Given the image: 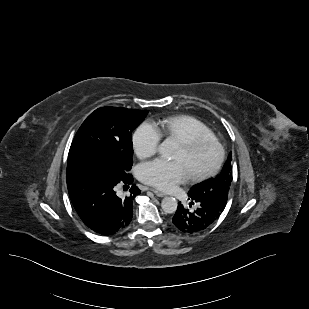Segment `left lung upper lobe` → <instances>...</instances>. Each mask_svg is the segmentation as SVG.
<instances>
[{"label": "left lung upper lobe", "mask_w": 309, "mask_h": 309, "mask_svg": "<svg viewBox=\"0 0 309 309\" xmlns=\"http://www.w3.org/2000/svg\"><path fill=\"white\" fill-rule=\"evenodd\" d=\"M231 161L232 153L229 154L224 169L217 177L193 186L189 192L194 196L227 202L228 191L232 181Z\"/></svg>", "instance_id": "left-lung-upper-lobe-1"}]
</instances>
